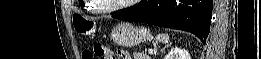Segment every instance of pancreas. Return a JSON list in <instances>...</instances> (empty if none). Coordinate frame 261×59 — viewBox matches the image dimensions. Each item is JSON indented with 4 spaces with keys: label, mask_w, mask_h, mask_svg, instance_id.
I'll list each match as a JSON object with an SVG mask.
<instances>
[{
    "label": "pancreas",
    "mask_w": 261,
    "mask_h": 59,
    "mask_svg": "<svg viewBox=\"0 0 261 59\" xmlns=\"http://www.w3.org/2000/svg\"><path fill=\"white\" fill-rule=\"evenodd\" d=\"M134 59H150V56L145 54L144 52H138L134 54Z\"/></svg>",
    "instance_id": "pancreas-1"
}]
</instances>
